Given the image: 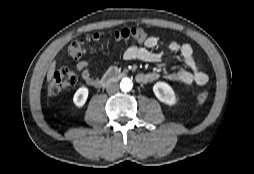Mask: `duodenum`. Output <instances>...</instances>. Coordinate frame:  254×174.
Segmentation results:
<instances>
[{"label": "duodenum", "mask_w": 254, "mask_h": 174, "mask_svg": "<svg viewBox=\"0 0 254 174\" xmlns=\"http://www.w3.org/2000/svg\"><path fill=\"white\" fill-rule=\"evenodd\" d=\"M125 76V74L123 72H121L119 69L117 68H112L110 69L102 78L101 80V85L106 87L108 85H110L111 83L122 79Z\"/></svg>", "instance_id": "410a0bca"}]
</instances>
